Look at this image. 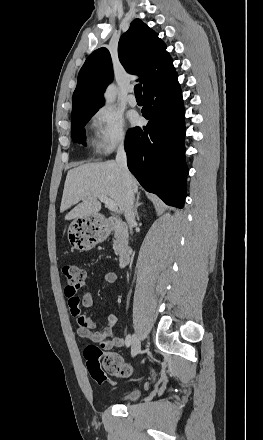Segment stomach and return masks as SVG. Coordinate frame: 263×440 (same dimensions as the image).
Masks as SVG:
<instances>
[{
  "label": "stomach",
  "instance_id": "obj_1",
  "mask_svg": "<svg viewBox=\"0 0 263 440\" xmlns=\"http://www.w3.org/2000/svg\"><path fill=\"white\" fill-rule=\"evenodd\" d=\"M68 239L78 250H89L104 239L95 216L78 217L68 228Z\"/></svg>",
  "mask_w": 263,
  "mask_h": 440
}]
</instances>
